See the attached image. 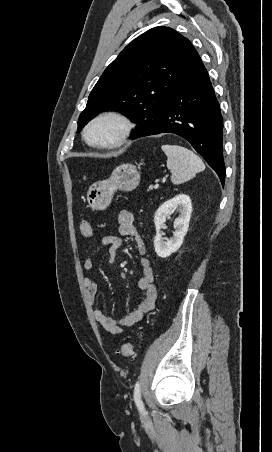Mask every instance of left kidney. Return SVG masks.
<instances>
[{"label":"left kidney","instance_id":"obj_1","mask_svg":"<svg viewBox=\"0 0 272 452\" xmlns=\"http://www.w3.org/2000/svg\"><path fill=\"white\" fill-rule=\"evenodd\" d=\"M174 208H177L180 214L174 221L175 231L173 232V237L165 241V238L162 237L160 229L164 224L166 217ZM191 212V199L186 194H179L172 199L165 201L158 208L154 216V224L156 229L154 248L159 257L166 258L181 247L189 228Z\"/></svg>","mask_w":272,"mask_h":452}]
</instances>
